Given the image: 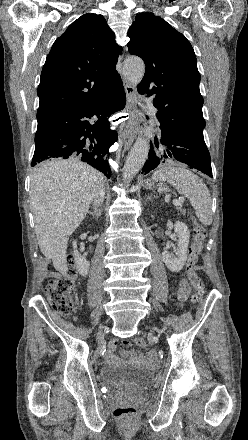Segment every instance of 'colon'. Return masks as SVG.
Masks as SVG:
<instances>
[{
	"instance_id": "5ec220e1",
	"label": "colon",
	"mask_w": 248,
	"mask_h": 440,
	"mask_svg": "<svg viewBox=\"0 0 248 440\" xmlns=\"http://www.w3.org/2000/svg\"><path fill=\"white\" fill-rule=\"evenodd\" d=\"M204 238V227L196 223L195 235L189 248L186 266L189 281L195 291L192 298L194 303H198L205 292V285L201 276L198 274L197 265L199 256L203 250ZM77 280L78 271L76 268V259L71 252L68 256V268L65 274L60 278L51 280L46 291L47 299L51 307L61 316H69L74 311L73 292ZM134 343L139 348H146V342L143 338H136ZM136 411L137 409L133 405H121L115 409L114 414L118 418H124L133 416Z\"/></svg>"
}]
</instances>
